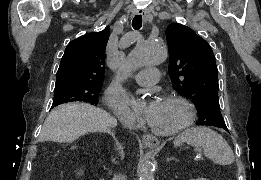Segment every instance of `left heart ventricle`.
Returning a JSON list of instances; mask_svg holds the SVG:
<instances>
[{"label":"left heart ventricle","mask_w":261,"mask_h":180,"mask_svg":"<svg viewBox=\"0 0 261 180\" xmlns=\"http://www.w3.org/2000/svg\"><path fill=\"white\" fill-rule=\"evenodd\" d=\"M185 115V107L174 99L163 98L145 121L154 134H168L179 129Z\"/></svg>","instance_id":"1"}]
</instances>
